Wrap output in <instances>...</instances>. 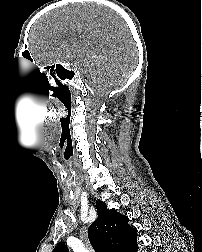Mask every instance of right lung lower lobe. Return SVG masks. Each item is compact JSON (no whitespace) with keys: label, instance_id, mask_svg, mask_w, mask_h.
<instances>
[{"label":"right lung lower lobe","instance_id":"1","mask_svg":"<svg viewBox=\"0 0 202 252\" xmlns=\"http://www.w3.org/2000/svg\"><path fill=\"white\" fill-rule=\"evenodd\" d=\"M138 249L137 244L135 245V247L133 248V250H130V252H136V250Z\"/></svg>","mask_w":202,"mask_h":252}]
</instances>
